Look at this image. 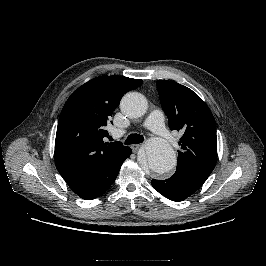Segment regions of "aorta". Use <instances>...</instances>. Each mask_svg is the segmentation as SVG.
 I'll use <instances>...</instances> for the list:
<instances>
[{
	"label": "aorta",
	"mask_w": 266,
	"mask_h": 266,
	"mask_svg": "<svg viewBox=\"0 0 266 266\" xmlns=\"http://www.w3.org/2000/svg\"><path fill=\"white\" fill-rule=\"evenodd\" d=\"M120 108L128 117L138 118L145 114L147 101L142 94L130 92L122 98ZM138 161L143 168H149L152 172L162 175L176 166V155L168 142L161 138H153L139 154Z\"/></svg>",
	"instance_id": "aorta-1"
}]
</instances>
